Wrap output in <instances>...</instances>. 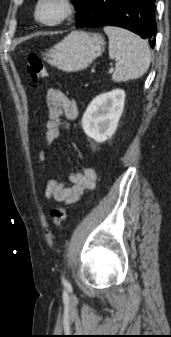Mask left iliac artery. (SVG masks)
Wrapping results in <instances>:
<instances>
[{"label":"left iliac artery","instance_id":"left-iliac-artery-1","mask_svg":"<svg viewBox=\"0 0 171 337\" xmlns=\"http://www.w3.org/2000/svg\"><path fill=\"white\" fill-rule=\"evenodd\" d=\"M62 281H63L64 284L68 283L67 280L64 277H62Z\"/></svg>","mask_w":171,"mask_h":337}]
</instances>
